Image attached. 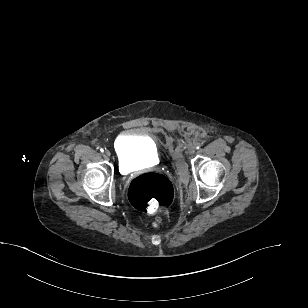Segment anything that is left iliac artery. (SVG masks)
I'll use <instances>...</instances> for the list:
<instances>
[{
	"label": "left iliac artery",
	"mask_w": 308,
	"mask_h": 308,
	"mask_svg": "<svg viewBox=\"0 0 308 308\" xmlns=\"http://www.w3.org/2000/svg\"><path fill=\"white\" fill-rule=\"evenodd\" d=\"M202 146L201 143H196V148L199 149Z\"/></svg>",
	"instance_id": "left-iliac-artery-1"
}]
</instances>
